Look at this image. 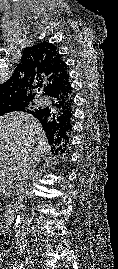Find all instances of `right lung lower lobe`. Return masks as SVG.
Wrapping results in <instances>:
<instances>
[{
  "label": "right lung lower lobe",
  "instance_id": "1",
  "mask_svg": "<svg viewBox=\"0 0 118 269\" xmlns=\"http://www.w3.org/2000/svg\"><path fill=\"white\" fill-rule=\"evenodd\" d=\"M72 90L71 85H70V91ZM72 93V91H71ZM71 122V121H70ZM71 131V125L70 128L68 129V131H66L65 133H57V135L55 136V138L53 140H48L50 144L52 145H57L60 146V149L62 146H65L67 144V142L69 141V132Z\"/></svg>",
  "mask_w": 118,
  "mask_h": 269
}]
</instances>
